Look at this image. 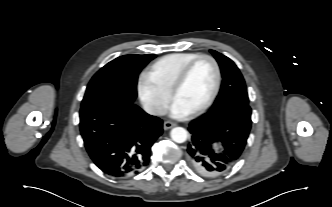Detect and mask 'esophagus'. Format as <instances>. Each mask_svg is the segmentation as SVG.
I'll use <instances>...</instances> for the list:
<instances>
[{
	"mask_svg": "<svg viewBox=\"0 0 332 207\" xmlns=\"http://www.w3.org/2000/svg\"><path fill=\"white\" fill-rule=\"evenodd\" d=\"M176 126V123L174 122H171V121H165L164 124H163V127L165 130H168L172 127Z\"/></svg>",
	"mask_w": 332,
	"mask_h": 207,
	"instance_id": "esophagus-1",
	"label": "esophagus"
}]
</instances>
